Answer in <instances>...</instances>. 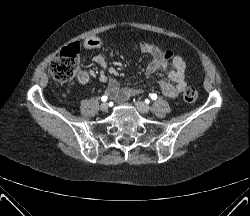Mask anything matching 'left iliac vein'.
Masks as SVG:
<instances>
[{
	"label": "left iliac vein",
	"mask_w": 250,
	"mask_h": 216,
	"mask_svg": "<svg viewBox=\"0 0 250 216\" xmlns=\"http://www.w3.org/2000/svg\"><path fill=\"white\" fill-rule=\"evenodd\" d=\"M135 106L141 113H148L150 111V106L142 101H137Z\"/></svg>",
	"instance_id": "1"
}]
</instances>
